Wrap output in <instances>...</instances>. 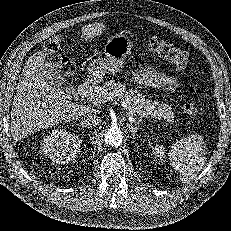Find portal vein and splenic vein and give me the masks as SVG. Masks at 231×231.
<instances>
[{
  "instance_id": "1",
  "label": "portal vein and splenic vein",
  "mask_w": 231,
  "mask_h": 231,
  "mask_svg": "<svg viewBox=\"0 0 231 231\" xmlns=\"http://www.w3.org/2000/svg\"><path fill=\"white\" fill-rule=\"evenodd\" d=\"M91 102L94 104V105H97V104H102L103 103V99L101 97L99 98H94L93 100H91ZM124 107H127V103H124ZM142 116L144 117L145 114L143 113ZM128 119L130 122H134V118H133V115L132 114H129L128 116Z\"/></svg>"
}]
</instances>
